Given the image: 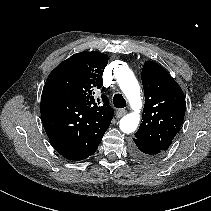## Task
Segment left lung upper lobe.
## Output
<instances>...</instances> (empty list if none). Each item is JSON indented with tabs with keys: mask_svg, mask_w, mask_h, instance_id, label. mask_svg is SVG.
Returning a JSON list of instances; mask_svg holds the SVG:
<instances>
[{
	"mask_svg": "<svg viewBox=\"0 0 211 211\" xmlns=\"http://www.w3.org/2000/svg\"><path fill=\"white\" fill-rule=\"evenodd\" d=\"M141 78L145 106L135 139L164 152L182 125L186 109L185 96L178 83L155 62H145Z\"/></svg>",
	"mask_w": 211,
	"mask_h": 211,
	"instance_id": "1",
	"label": "left lung upper lobe"
}]
</instances>
